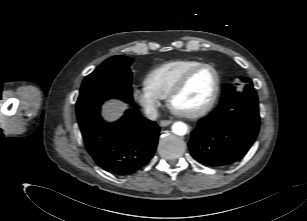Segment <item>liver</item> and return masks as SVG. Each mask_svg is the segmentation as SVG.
Returning <instances> with one entry per match:
<instances>
[{
    "label": "liver",
    "mask_w": 307,
    "mask_h": 221,
    "mask_svg": "<svg viewBox=\"0 0 307 221\" xmlns=\"http://www.w3.org/2000/svg\"><path fill=\"white\" fill-rule=\"evenodd\" d=\"M127 108V104L121 101L110 100L103 105V117L106 121L113 122L119 119Z\"/></svg>",
    "instance_id": "obj_1"
}]
</instances>
